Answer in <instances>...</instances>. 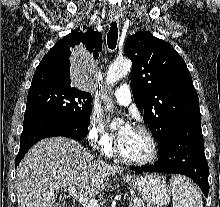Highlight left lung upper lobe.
Here are the masks:
<instances>
[{
	"label": "left lung upper lobe",
	"mask_w": 220,
	"mask_h": 207,
	"mask_svg": "<svg viewBox=\"0 0 220 207\" xmlns=\"http://www.w3.org/2000/svg\"><path fill=\"white\" fill-rule=\"evenodd\" d=\"M125 52L132 60V93L144 121L160 142L179 123L201 118L190 72L171 44L142 31L130 36Z\"/></svg>",
	"instance_id": "left-lung-upper-lobe-1"
}]
</instances>
